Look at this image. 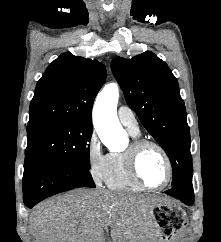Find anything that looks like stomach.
I'll return each mask as SVG.
<instances>
[{
  "label": "stomach",
  "mask_w": 221,
  "mask_h": 242,
  "mask_svg": "<svg viewBox=\"0 0 221 242\" xmlns=\"http://www.w3.org/2000/svg\"><path fill=\"white\" fill-rule=\"evenodd\" d=\"M176 205L169 201H164L156 204L151 209V214L153 216V220L158 229H166V230H175L182 229L185 227V222L180 221V219H184V211L178 208V211H175ZM181 211V217L179 212ZM169 236H166L168 238ZM156 242H162V240H158Z\"/></svg>",
  "instance_id": "0dacf381"
}]
</instances>
